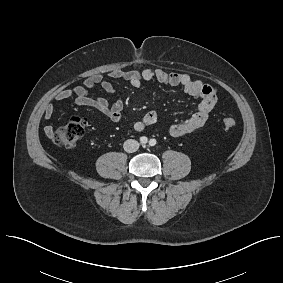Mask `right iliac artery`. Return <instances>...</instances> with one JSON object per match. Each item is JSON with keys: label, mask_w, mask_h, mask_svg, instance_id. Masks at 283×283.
Segmentation results:
<instances>
[{"label": "right iliac artery", "mask_w": 283, "mask_h": 283, "mask_svg": "<svg viewBox=\"0 0 283 283\" xmlns=\"http://www.w3.org/2000/svg\"><path fill=\"white\" fill-rule=\"evenodd\" d=\"M140 142H141L142 144H146V143L148 142V138L145 137V136H142V137H140Z\"/></svg>", "instance_id": "right-iliac-artery-1"}]
</instances>
